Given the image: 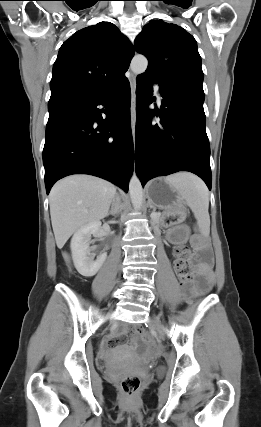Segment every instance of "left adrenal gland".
<instances>
[{"mask_svg":"<svg viewBox=\"0 0 261 427\" xmlns=\"http://www.w3.org/2000/svg\"><path fill=\"white\" fill-rule=\"evenodd\" d=\"M150 208H153V206L151 204H149Z\"/></svg>","mask_w":261,"mask_h":427,"instance_id":"a2214340","label":"left adrenal gland"}]
</instances>
